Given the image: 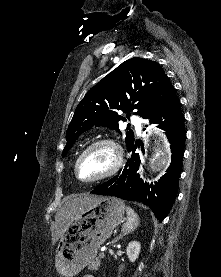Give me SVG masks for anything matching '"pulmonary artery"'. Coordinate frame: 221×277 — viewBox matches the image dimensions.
Returning <instances> with one entry per match:
<instances>
[{"label":"pulmonary artery","instance_id":"1","mask_svg":"<svg viewBox=\"0 0 221 277\" xmlns=\"http://www.w3.org/2000/svg\"><path fill=\"white\" fill-rule=\"evenodd\" d=\"M132 121L136 124L137 129L140 131V125L135 117H132Z\"/></svg>","mask_w":221,"mask_h":277}]
</instances>
